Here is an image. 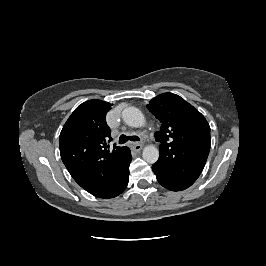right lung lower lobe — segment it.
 <instances>
[{"label": "right lung lower lobe", "instance_id": "98d812e1", "mask_svg": "<svg viewBox=\"0 0 266 266\" xmlns=\"http://www.w3.org/2000/svg\"><path fill=\"white\" fill-rule=\"evenodd\" d=\"M131 155L124 167L123 172L120 174V176L118 177L117 183L115 185V187L110 191L109 194H107L104 198H113L118 196L119 194H121L125 188L127 187L128 184V180H129V165L131 162Z\"/></svg>", "mask_w": 266, "mask_h": 266}]
</instances>
